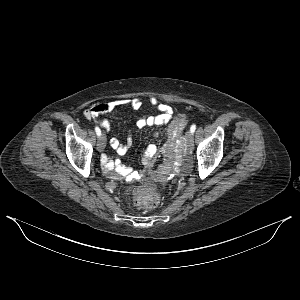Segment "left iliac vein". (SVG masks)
<instances>
[{
  "label": "left iliac vein",
  "instance_id": "left-iliac-vein-1",
  "mask_svg": "<svg viewBox=\"0 0 300 300\" xmlns=\"http://www.w3.org/2000/svg\"><path fill=\"white\" fill-rule=\"evenodd\" d=\"M184 137H185V140H186L187 144L189 146H192L193 145V133H191V131L188 130V131H186Z\"/></svg>",
  "mask_w": 300,
  "mask_h": 300
}]
</instances>
